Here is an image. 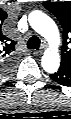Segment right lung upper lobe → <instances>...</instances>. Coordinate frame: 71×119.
I'll list each match as a JSON object with an SVG mask.
<instances>
[{
    "label": "right lung upper lobe",
    "mask_w": 71,
    "mask_h": 119,
    "mask_svg": "<svg viewBox=\"0 0 71 119\" xmlns=\"http://www.w3.org/2000/svg\"><path fill=\"white\" fill-rule=\"evenodd\" d=\"M7 17V13L2 11V20H4ZM3 45H4V50L6 53H11L12 51L15 50V44L16 42L8 39L7 37L3 36L1 39Z\"/></svg>",
    "instance_id": "cb5924a9"
}]
</instances>
